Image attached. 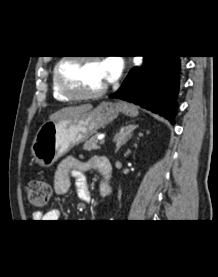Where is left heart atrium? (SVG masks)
I'll return each mask as SVG.
<instances>
[{
	"mask_svg": "<svg viewBox=\"0 0 218 277\" xmlns=\"http://www.w3.org/2000/svg\"><path fill=\"white\" fill-rule=\"evenodd\" d=\"M102 67L105 72L106 80L114 81L122 70V62L117 58H110L102 62Z\"/></svg>",
	"mask_w": 218,
	"mask_h": 277,
	"instance_id": "39dd6f15",
	"label": "left heart atrium"
}]
</instances>
